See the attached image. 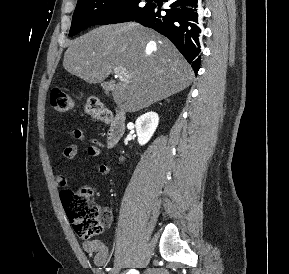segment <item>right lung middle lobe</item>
Masks as SVG:
<instances>
[{
	"label": "right lung middle lobe",
	"instance_id": "obj_1",
	"mask_svg": "<svg viewBox=\"0 0 289 274\" xmlns=\"http://www.w3.org/2000/svg\"><path fill=\"white\" fill-rule=\"evenodd\" d=\"M142 0H78L69 36L98 24H114L135 20L151 3Z\"/></svg>",
	"mask_w": 289,
	"mask_h": 274
}]
</instances>
